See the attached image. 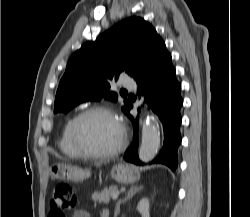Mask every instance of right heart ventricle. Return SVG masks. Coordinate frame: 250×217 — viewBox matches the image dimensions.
<instances>
[{
    "label": "right heart ventricle",
    "mask_w": 250,
    "mask_h": 217,
    "mask_svg": "<svg viewBox=\"0 0 250 217\" xmlns=\"http://www.w3.org/2000/svg\"><path fill=\"white\" fill-rule=\"evenodd\" d=\"M73 118L68 119L61 131L60 139H59V148L61 152L72 159H79L82 155L77 151V149L73 146L70 139V124Z\"/></svg>",
    "instance_id": "1"
}]
</instances>
